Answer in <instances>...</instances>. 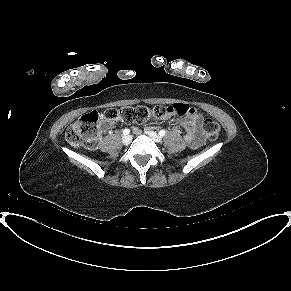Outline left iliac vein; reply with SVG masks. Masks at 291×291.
<instances>
[{
    "instance_id": "left-iliac-vein-1",
    "label": "left iliac vein",
    "mask_w": 291,
    "mask_h": 291,
    "mask_svg": "<svg viewBox=\"0 0 291 291\" xmlns=\"http://www.w3.org/2000/svg\"><path fill=\"white\" fill-rule=\"evenodd\" d=\"M145 134H147L156 143H161L162 142L161 136H159L157 133H155L153 131L146 130Z\"/></svg>"
}]
</instances>
